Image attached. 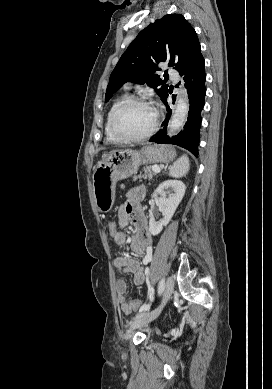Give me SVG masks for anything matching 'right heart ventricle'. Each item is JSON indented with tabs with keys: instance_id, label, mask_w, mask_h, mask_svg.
<instances>
[{
	"instance_id": "obj_1",
	"label": "right heart ventricle",
	"mask_w": 272,
	"mask_h": 389,
	"mask_svg": "<svg viewBox=\"0 0 272 389\" xmlns=\"http://www.w3.org/2000/svg\"><path fill=\"white\" fill-rule=\"evenodd\" d=\"M127 98V94H122L120 96H118L112 103L108 113H107V116H106V120H105V125H104V131H105V138H106V141L108 143H117L119 142V140L117 138L114 137V135L112 134L111 132V129H110V119H111V115L113 113V111L115 110V108L123 101Z\"/></svg>"
}]
</instances>
